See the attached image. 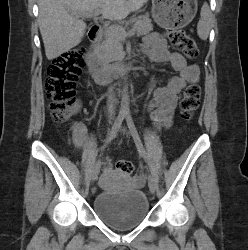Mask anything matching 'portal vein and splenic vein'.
<instances>
[{"label":"portal vein and splenic vein","instance_id":"1","mask_svg":"<svg viewBox=\"0 0 248 250\" xmlns=\"http://www.w3.org/2000/svg\"><path fill=\"white\" fill-rule=\"evenodd\" d=\"M100 14H101V11L100 10H96V11H94L92 13H84V14H82V16L87 17V18H91V17H99ZM101 19H105V17L102 16ZM112 27L113 26H110L109 28H112ZM134 33H135L134 30H130L129 32L123 31L124 37H127L128 35H132Z\"/></svg>","mask_w":248,"mask_h":250}]
</instances>
